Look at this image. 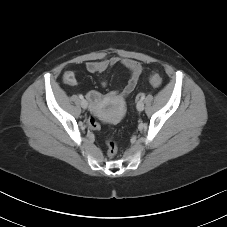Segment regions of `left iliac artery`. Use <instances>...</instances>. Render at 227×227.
Wrapping results in <instances>:
<instances>
[{"label": "left iliac artery", "instance_id": "1", "mask_svg": "<svg viewBox=\"0 0 227 227\" xmlns=\"http://www.w3.org/2000/svg\"><path fill=\"white\" fill-rule=\"evenodd\" d=\"M141 100H143L145 98V94H141Z\"/></svg>", "mask_w": 227, "mask_h": 227}]
</instances>
